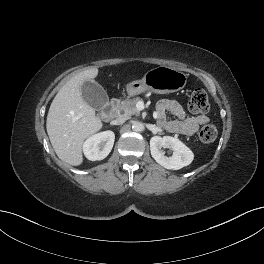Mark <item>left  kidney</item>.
Returning a JSON list of instances; mask_svg holds the SVG:
<instances>
[{
    "mask_svg": "<svg viewBox=\"0 0 264 264\" xmlns=\"http://www.w3.org/2000/svg\"><path fill=\"white\" fill-rule=\"evenodd\" d=\"M163 148L173 151L166 156ZM150 150L154 160L162 167L170 170H179L189 165L194 158L193 152L179 139L171 136H154L150 139Z\"/></svg>",
    "mask_w": 264,
    "mask_h": 264,
    "instance_id": "1",
    "label": "left kidney"
}]
</instances>
